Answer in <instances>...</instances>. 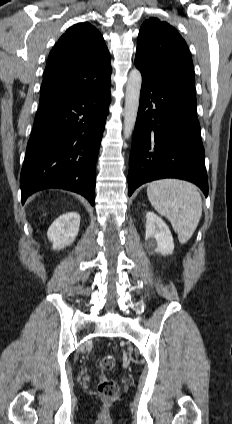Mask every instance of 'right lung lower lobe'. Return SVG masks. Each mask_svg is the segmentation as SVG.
<instances>
[{
  "label": "right lung lower lobe",
  "mask_w": 232,
  "mask_h": 424,
  "mask_svg": "<svg viewBox=\"0 0 232 424\" xmlns=\"http://www.w3.org/2000/svg\"><path fill=\"white\" fill-rule=\"evenodd\" d=\"M110 84L39 103L20 176L21 199L45 188L77 192L94 205L95 165Z\"/></svg>",
  "instance_id": "1"
}]
</instances>
